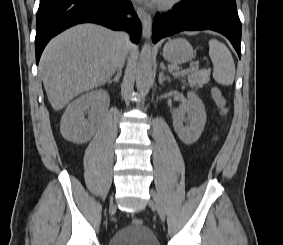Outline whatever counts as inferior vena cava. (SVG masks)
I'll return each instance as SVG.
<instances>
[{"label": "inferior vena cava", "mask_w": 283, "mask_h": 245, "mask_svg": "<svg viewBox=\"0 0 283 245\" xmlns=\"http://www.w3.org/2000/svg\"><path fill=\"white\" fill-rule=\"evenodd\" d=\"M120 36L122 37V39L124 40V42L126 44L129 43L128 38L125 34H120ZM125 55H126V52H123L122 57H121V61H120V67H122L123 64H124Z\"/></svg>", "instance_id": "602c4592"}]
</instances>
